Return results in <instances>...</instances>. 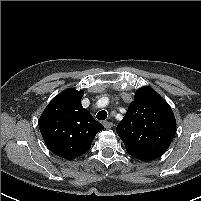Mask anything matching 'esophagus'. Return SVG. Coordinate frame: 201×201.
<instances>
[{"label":"esophagus","mask_w":201,"mask_h":201,"mask_svg":"<svg viewBox=\"0 0 201 201\" xmlns=\"http://www.w3.org/2000/svg\"><path fill=\"white\" fill-rule=\"evenodd\" d=\"M103 125H104V127H105L106 129H110V128L113 127V123L110 122V121H104V122H103Z\"/></svg>","instance_id":"34e87169"}]
</instances>
